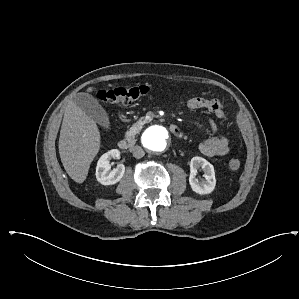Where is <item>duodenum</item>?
I'll return each mask as SVG.
<instances>
[{
	"instance_id": "1",
	"label": "duodenum",
	"mask_w": 299,
	"mask_h": 299,
	"mask_svg": "<svg viewBox=\"0 0 299 299\" xmlns=\"http://www.w3.org/2000/svg\"><path fill=\"white\" fill-rule=\"evenodd\" d=\"M169 130L170 132L175 135L178 138L183 137V131L181 130V128L179 126H177L176 124H169ZM136 143V139L133 136H128L123 138L120 142H119V147L123 150L129 149L132 146H134V144Z\"/></svg>"
}]
</instances>
